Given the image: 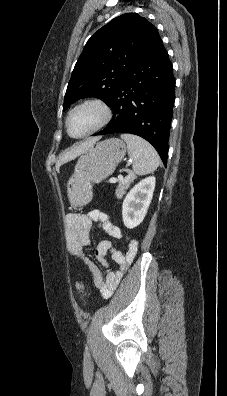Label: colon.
Listing matches in <instances>:
<instances>
[{"mask_svg":"<svg viewBox=\"0 0 227 396\" xmlns=\"http://www.w3.org/2000/svg\"><path fill=\"white\" fill-rule=\"evenodd\" d=\"M77 290L79 292V294L83 295L84 294V287L82 284H77Z\"/></svg>","mask_w":227,"mask_h":396,"instance_id":"colon-1","label":"colon"}]
</instances>
